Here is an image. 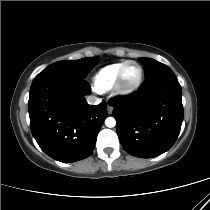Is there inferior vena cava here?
I'll use <instances>...</instances> for the list:
<instances>
[{
    "label": "inferior vena cava",
    "instance_id": "obj_1",
    "mask_svg": "<svg viewBox=\"0 0 210 210\" xmlns=\"http://www.w3.org/2000/svg\"><path fill=\"white\" fill-rule=\"evenodd\" d=\"M86 100L90 105H97L101 102V100L95 96H88Z\"/></svg>",
    "mask_w": 210,
    "mask_h": 210
}]
</instances>
